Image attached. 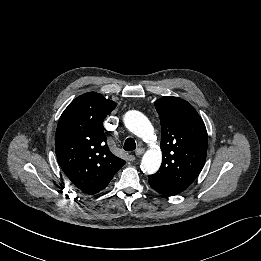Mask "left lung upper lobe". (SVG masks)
I'll use <instances>...</instances> for the list:
<instances>
[{"label":"left lung upper lobe","mask_w":261,"mask_h":261,"mask_svg":"<svg viewBox=\"0 0 261 261\" xmlns=\"http://www.w3.org/2000/svg\"><path fill=\"white\" fill-rule=\"evenodd\" d=\"M161 121L163 161L149 184L167 196L183 192L201 172L207 154V131L187 101L173 96L155 102Z\"/></svg>","instance_id":"left-lung-upper-lobe-1"}]
</instances>
